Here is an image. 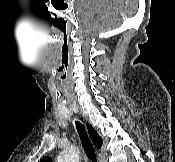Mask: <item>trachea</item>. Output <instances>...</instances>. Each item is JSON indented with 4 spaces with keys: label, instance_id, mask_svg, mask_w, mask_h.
<instances>
[{
    "label": "trachea",
    "instance_id": "1",
    "mask_svg": "<svg viewBox=\"0 0 175 162\" xmlns=\"http://www.w3.org/2000/svg\"><path fill=\"white\" fill-rule=\"evenodd\" d=\"M75 124H76V129L79 134L82 146L84 148V151L87 157L89 158L91 162H97L95 148L86 132V129L79 121H76Z\"/></svg>",
    "mask_w": 175,
    "mask_h": 162
}]
</instances>
